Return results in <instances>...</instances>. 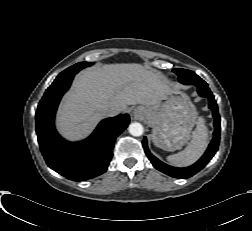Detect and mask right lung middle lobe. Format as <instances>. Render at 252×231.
Masks as SVG:
<instances>
[{
  "instance_id": "right-lung-middle-lobe-1",
  "label": "right lung middle lobe",
  "mask_w": 252,
  "mask_h": 231,
  "mask_svg": "<svg viewBox=\"0 0 252 231\" xmlns=\"http://www.w3.org/2000/svg\"><path fill=\"white\" fill-rule=\"evenodd\" d=\"M93 64V62H79L69 68H67L66 70L62 71L55 79L56 80H59V79H62V78H65L69 75V73H72L74 71L78 72L80 71L81 69L85 68V67H88V66H91Z\"/></svg>"
}]
</instances>
